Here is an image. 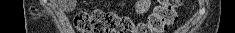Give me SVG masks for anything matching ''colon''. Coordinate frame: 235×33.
Masks as SVG:
<instances>
[{"instance_id": "1", "label": "colon", "mask_w": 235, "mask_h": 33, "mask_svg": "<svg viewBox=\"0 0 235 33\" xmlns=\"http://www.w3.org/2000/svg\"><path fill=\"white\" fill-rule=\"evenodd\" d=\"M180 3V0L160 1L147 21L137 25L127 16L103 10L79 13L74 24L80 33H163L176 21L175 8Z\"/></svg>"}]
</instances>
